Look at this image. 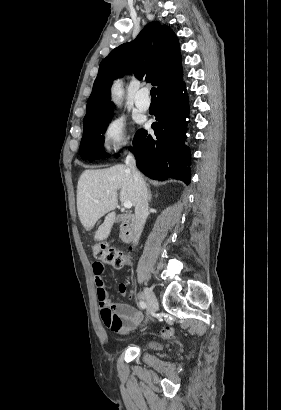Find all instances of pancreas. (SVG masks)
I'll use <instances>...</instances> for the list:
<instances>
[{"label":"pancreas","instance_id":"cf45deb5","mask_svg":"<svg viewBox=\"0 0 281 410\" xmlns=\"http://www.w3.org/2000/svg\"><path fill=\"white\" fill-rule=\"evenodd\" d=\"M123 236H124V232H123V230H121L120 237L123 238Z\"/></svg>","mask_w":281,"mask_h":410}]
</instances>
